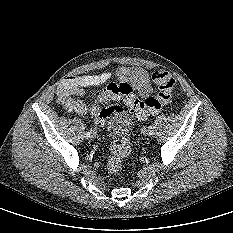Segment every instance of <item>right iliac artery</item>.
Wrapping results in <instances>:
<instances>
[{"instance_id": "82829eb1", "label": "right iliac artery", "mask_w": 233, "mask_h": 233, "mask_svg": "<svg viewBox=\"0 0 233 233\" xmlns=\"http://www.w3.org/2000/svg\"><path fill=\"white\" fill-rule=\"evenodd\" d=\"M85 135H86V136H85L86 138H90L91 132L87 131Z\"/></svg>"}]
</instances>
